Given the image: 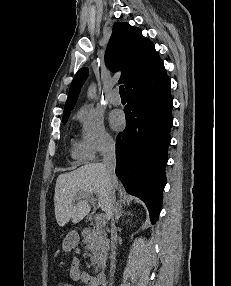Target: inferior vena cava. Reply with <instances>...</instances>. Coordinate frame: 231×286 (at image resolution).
Listing matches in <instances>:
<instances>
[{"instance_id":"inferior-vena-cava-1","label":"inferior vena cava","mask_w":231,"mask_h":286,"mask_svg":"<svg viewBox=\"0 0 231 286\" xmlns=\"http://www.w3.org/2000/svg\"><path fill=\"white\" fill-rule=\"evenodd\" d=\"M103 165L105 167V171L110 185V203L108 206L107 215L111 219L110 276L113 277L115 272L116 241H117V230L114 221V210L116 204L114 187L117 183V178L115 175V166H116L115 142L112 139H108L104 142Z\"/></svg>"}]
</instances>
